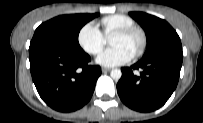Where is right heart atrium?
Returning <instances> with one entry per match:
<instances>
[{
  "label": "right heart atrium",
  "instance_id": "1",
  "mask_svg": "<svg viewBox=\"0 0 203 123\" xmlns=\"http://www.w3.org/2000/svg\"><path fill=\"white\" fill-rule=\"evenodd\" d=\"M78 43L81 48L91 55H97L106 44V38L93 23L85 24L78 33Z\"/></svg>",
  "mask_w": 203,
  "mask_h": 123
}]
</instances>
